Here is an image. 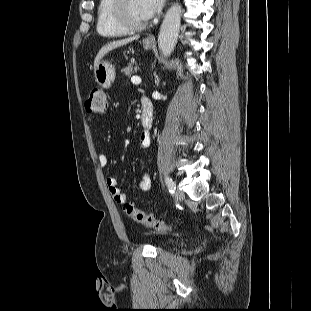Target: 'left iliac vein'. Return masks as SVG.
<instances>
[{
  "instance_id": "left-iliac-vein-1",
  "label": "left iliac vein",
  "mask_w": 311,
  "mask_h": 311,
  "mask_svg": "<svg viewBox=\"0 0 311 311\" xmlns=\"http://www.w3.org/2000/svg\"><path fill=\"white\" fill-rule=\"evenodd\" d=\"M175 198L178 200H182L184 198V193L180 189H176L175 191Z\"/></svg>"
}]
</instances>
